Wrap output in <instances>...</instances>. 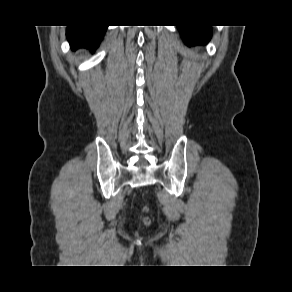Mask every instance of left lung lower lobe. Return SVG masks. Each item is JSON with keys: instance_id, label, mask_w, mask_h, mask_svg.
I'll list each match as a JSON object with an SVG mask.
<instances>
[{"instance_id": "1", "label": "left lung lower lobe", "mask_w": 292, "mask_h": 292, "mask_svg": "<svg viewBox=\"0 0 292 292\" xmlns=\"http://www.w3.org/2000/svg\"><path fill=\"white\" fill-rule=\"evenodd\" d=\"M187 45L205 44L212 35L211 26H177Z\"/></svg>"}]
</instances>
